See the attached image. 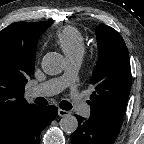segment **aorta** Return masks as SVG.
Segmentation results:
<instances>
[{
	"label": "aorta",
	"mask_w": 144,
	"mask_h": 144,
	"mask_svg": "<svg viewBox=\"0 0 144 144\" xmlns=\"http://www.w3.org/2000/svg\"><path fill=\"white\" fill-rule=\"evenodd\" d=\"M42 69L48 75L60 74L64 69V59L57 52H49L42 59ZM60 128L65 133H73L78 127L77 118L71 114L64 115L60 122Z\"/></svg>",
	"instance_id": "762f6f07"
}]
</instances>
